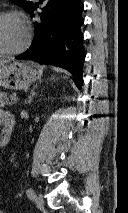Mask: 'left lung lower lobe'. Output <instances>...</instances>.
<instances>
[{"label": "left lung lower lobe", "mask_w": 128, "mask_h": 213, "mask_svg": "<svg viewBox=\"0 0 128 213\" xmlns=\"http://www.w3.org/2000/svg\"><path fill=\"white\" fill-rule=\"evenodd\" d=\"M40 13L41 22L35 24L32 46L16 59L51 62L74 75L76 86L81 89L85 50L80 30L84 20L81 0H52ZM49 6H51L50 11ZM35 5L29 10L34 16Z\"/></svg>", "instance_id": "0a47b994"}]
</instances>
